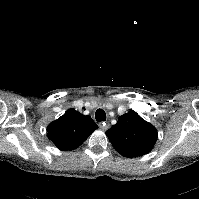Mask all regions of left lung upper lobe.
<instances>
[{"label":"left lung upper lobe","instance_id":"left-lung-upper-lobe-1","mask_svg":"<svg viewBox=\"0 0 199 199\" xmlns=\"http://www.w3.org/2000/svg\"><path fill=\"white\" fill-rule=\"evenodd\" d=\"M111 144L125 157H138L149 153L157 140L156 128L129 111L118 118L116 125L106 131Z\"/></svg>","mask_w":199,"mask_h":199}]
</instances>
